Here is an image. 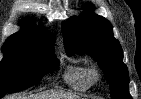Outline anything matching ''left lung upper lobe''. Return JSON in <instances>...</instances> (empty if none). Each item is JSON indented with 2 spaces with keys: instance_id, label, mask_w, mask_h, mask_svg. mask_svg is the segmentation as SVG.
<instances>
[{
  "instance_id": "5c2ea615",
  "label": "left lung upper lobe",
  "mask_w": 141,
  "mask_h": 99,
  "mask_svg": "<svg viewBox=\"0 0 141 99\" xmlns=\"http://www.w3.org/2000/svg\"><path fill=\"white\" fill-rule=\"evenodd\" d=\"M87 11L63 24L64 44L68 55L89 53L110 82L113 99H132L129 94L128 70L123 63V51L113 36L108 20Z\"/></svg>"
}]
</instances>
